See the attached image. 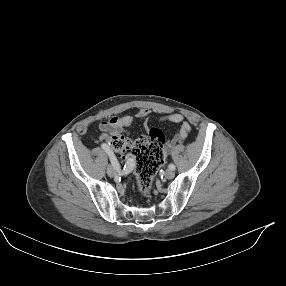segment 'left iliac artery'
I'll return each mask as SVG.
<instances>
[{
	"instance_id": "1",
	"label": "left iliac artery",
	"mask_w": 286,
	"mask_h": 286,
	"mask_svg": "<svg viewBox=\"0 0 286 286\" xmlns=\"http://www.w3.org/2000/svg\"><path fill=\"white\" fill-rule=\"evenodd\" d=\"M175 168H176V167H175L174 164H170V165H169V169H170V170H175Z\"/></svg>"
}]
</instances>
